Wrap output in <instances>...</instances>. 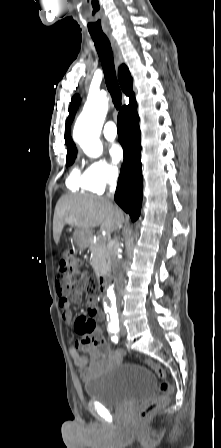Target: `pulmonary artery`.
Here are the masks:
<instances>
[{
    "label": "pulmonary artery",
    "mask_w": 221,
    "mask_h": 448,
    "mask_svg": "<svg viewBox=\"0 0 221 448\" xmlns=\"http://www.w3.org/2000/svg\"><path fill=\"white\" fill-rule=\"evenodd\" d=\"M103 135L108 141H113L117 137V127L114 122H107L103 129Z\"/></svg>",
    "instance_id": "e3ab8cb5"
}]
</instances>
